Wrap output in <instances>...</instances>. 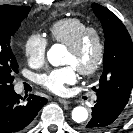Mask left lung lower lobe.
Masks as SVG:
<instances>
[{"mask_svg": "<svg viewBox=\"0 0 133 133\" xmlns=\"http://www.w3.org/2000/svg\"><path fill=\"white\" fill-rule=\"evenodd\" d=\"M126 104L105 93H97L92 118L82 126L83 133H98L107 128L120 115Z\"/></svg>", "mask_w": 133, "mask_h": 133, "instance_id": "0a47b994", "label": "left lung lower lobe"}]
</instances>
